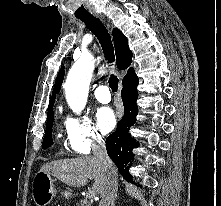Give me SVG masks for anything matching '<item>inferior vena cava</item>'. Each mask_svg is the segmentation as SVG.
<instances>
[{
  "instance_id": "inferior-vena-cava-1",
  "label": "inferior vena cava",
  "mask_w": 221,
  "mask_h": 206,
  "mask_svg": "<svg viewBox=\"0 0 221 206\" xmlns=\"http://www.w3.org/2000/svg\"><path fill=\"white\" fill-rule=\"evenodd\" d=\"M92 151L94 156L98 159L103 170L106 172V185L101 194V201L99 206H111L113 198L117 191V177L115 167L109 158L105 141L102 138H95L92 143Z\"/></svg>"
}]
</instances>
